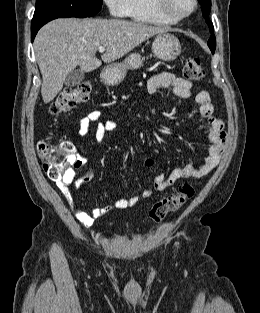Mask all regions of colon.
Returning <instances> with one entry per match:
<instances>
[{"label":"colon","instance_id":"obj_1","mask_svg":"<svg viewBox=\"0 0 260 313\" xmlns=\"http://www.w3.org/2000/svg\"><path fill=\"white\" fill-rule=\"evenodd\" d=\"M184 77L189 80H202L205 71L198 58H188L183 69ZM92 87L87 82L64 89L58 94L49 107L53 115L68 112L76 105L86 103L90 99ZM38 153L44 161V171L52 180H61L72 166L71 157L75 154L73 145L66 140L58 143L40 141ZM194 188L185 184L180 192L165 197L153 204L149 211V219L160 222L169 213L179 210L187 200L193 197Z\"/></svg>","mask_w":260,"mask_h":313}]
</instances>
